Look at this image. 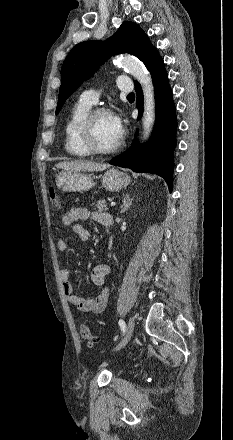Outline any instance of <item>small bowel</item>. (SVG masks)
Returning a JSON list of instances; mask_svg holds the SVG:
<instances>
[{"mask_svg":"<svg viewBox=\"0 0 233 440\" xmlns=\"http://www.w3.org/2000/svg\"><path fill=\"white\" fill-rule=\"evenodd\" d=\"M111 216L109 213L103 211L90 212L86 207H72L62 217V224L64 226H72L74 232L78 234L82 241H89L91 233L86 230L78 222L91 217L95 222L102 224V221ZM57 248L59 251H66L68 243L61 238L57 241ZM110 273V266L106 263L96 265L91 273V280L94 285L103 287V290L95 297H79L74 293V288L71 283L72 270L70 268H63L60 271V278L62 280V289L67 298V301L75 306L81 312H90L94 314L101 313L108 302L109 289L105 287L106 277Z\"/></svg>","mask_w":233,"mask_h":440,"instance_id":"obj_1","label":"small bowel"}]
</instances>
